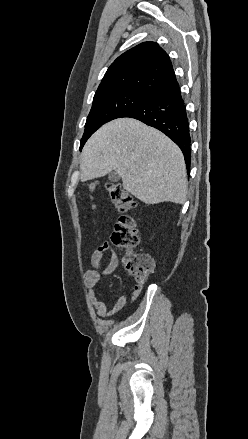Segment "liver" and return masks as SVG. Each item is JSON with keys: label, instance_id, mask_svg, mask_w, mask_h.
Listing matches in <instances>:
<instances>
[{"label": "liver", "instance_id": "obj_1", "mask_svg": "<svg viewBox=\"0 0 248 439\" xmlns=\"http://www.w3.org/2000/svg\"><path fill=\"white\" fill-rule=\"evenodd\" d=\"M82 182L116 171L123 188L145 204H183L187 174L179 147L162 132L131 118L103 125L86 142Z\"/></svg>", "mask_w": 248, "mask_h": 439}]
</instances>
